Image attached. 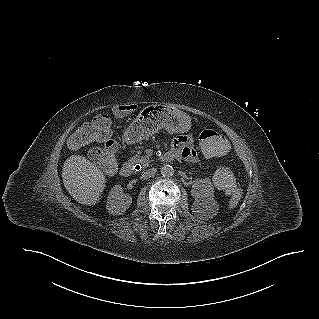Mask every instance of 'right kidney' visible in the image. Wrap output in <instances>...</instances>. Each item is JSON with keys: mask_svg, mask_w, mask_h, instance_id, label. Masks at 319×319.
<instances>
[{"mask_svg": "<svg viewBox=\"0 0 319 319\" xmlns=\"http://www.w3.org/2000/svg\"><path fill=\"white\" fill-rule=\"evenodd\" d=\"M132 197L123 192L120 185H115L109 192L106 209L113 215H122L130 206Z\"/></svg>", "mask_w": 319, "mask_h": 319, "instance_id": "ca27d5eb", "label": "right kidney"}]
</instances>
